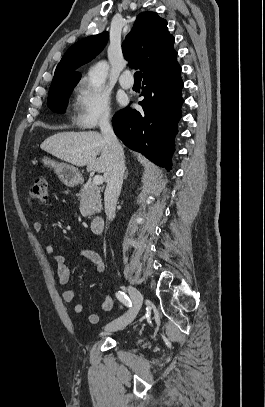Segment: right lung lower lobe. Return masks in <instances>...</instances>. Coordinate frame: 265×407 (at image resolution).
<instances>
[{"label": "right lung lower lobe", "instance_id": "obj_1", "mask_svg": "<svg viewBox=\"0 0 265 407\" xmlns=\"http://www.w3.org/2000/svg\"><path fill=\"white\" fill-rule=\"evenodd\" d=\"M176 57L175 52L143 75L146 87L141 94L144 99L139 102L142 112L127 107L112 120L115 134L126 146L168 169L184 102L181 67Z\"/></svg>", "mask_w": 265, "mask_h": 407}]
</instances>
